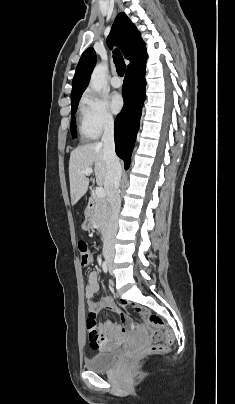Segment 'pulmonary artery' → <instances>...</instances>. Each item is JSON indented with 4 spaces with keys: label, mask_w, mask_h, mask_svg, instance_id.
<instances>
[{
    "label": "pulmonary artery",
    "mask_w": 235,
    "mask_h": 404,
    "mask_svg": "<svg viewBox=\"0 0 235 404\" xmlns=\"http://www.w3.org/2000/svg\"><path fill=\"white\" fill-rule=\"evenodd\" d=\"M111 85H112V87H114V88H119V87H121L122 82H121V80H120L119 77L114 76V77L111 79Z\"/></svg>",
    "instance_id": "1"
}]
</instances>
